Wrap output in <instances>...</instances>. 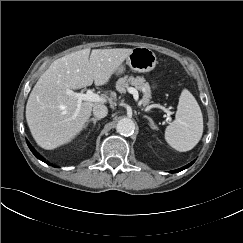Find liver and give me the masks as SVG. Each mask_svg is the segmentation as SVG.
Segmentation results:
<instances>
[{
  "label": "liver",
  "instance_id": "liver-1",
  "mask_svg": "<svg viewBox=\"0 0 243 243\" xmlns=\"http://www.w3.org/2000/svg\"><path fill=\"white\" fill-rule=\"evenodd\" d=\"M133 49H83L55 60L33 87L26 120L36 143L47 150L70 142L85 127L95 102L78 100L67 90L107 84Z\"/></svg>",
  "mask_w": 243,
  "mask_h": 243
}]
</instances>
